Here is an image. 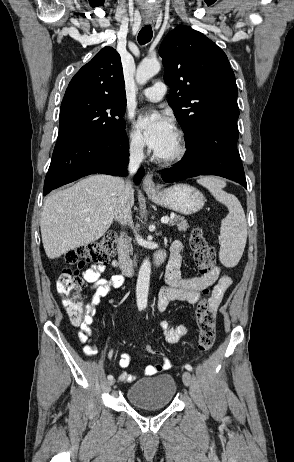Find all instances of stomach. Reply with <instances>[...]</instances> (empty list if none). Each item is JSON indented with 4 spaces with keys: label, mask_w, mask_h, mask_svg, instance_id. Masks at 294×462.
I'll use <instances>...</instances> for the list:
<instances>
[{
    "label": "stomach",
    "mask_w": 294,
    "mask_h": 462,
    "mask_svg": "<svg viewBox=\"0 0 294 462\" xmlns=\"http://www.w3.org/2000/svg\"><path fill=\"white\" fill-rule=\"evenodd\" d=\"M156 204L184 215L201 210L205 203L203 194L187 184H176L160 192H147Z\"/></svg>",
    "instance_id": "0dacf381"
}]
</instances>
